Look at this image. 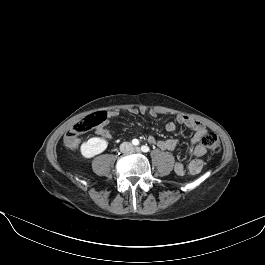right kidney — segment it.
<instances>
[{"mask_svg":"<svg viewBox=\"0 0 265 265\" xmlns=\"http://www.w3.org/2000/svg\"><path fill=\"white\" fill-rule=\"evenodd\" d=\"M107 146L108 142L105 139L93 137L82 143L80 151L84 158H92L105 151Z\"/></svg>","mask_w":265,"mask_h":265,"instance_id":"right-kidney-1","label":"right kidney"}]
</instances>
